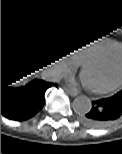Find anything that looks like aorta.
<instances>
[{"mask_svg":"<svg viewBox=\"0 0 122 154\" xmlns=\"http://www.w3.org/2000/svg\"><path fill=\"white\" fill-rule=\"evenodd\" d=\"M72 107L75 113L85 115L91 110L92 104L87 96L81 95L74 99Z\"/></svg>","mask_w":122,"mask_h":154,"instance_id":"762f6f07","label":"aorta"}]
</instances>
